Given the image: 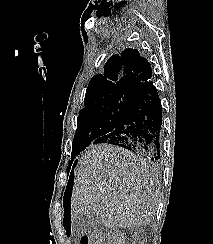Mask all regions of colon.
<instances>
[{
    "label": "colon",
    "instance_id": "obj_1",
    "mask_svg": "<svg viewBox=\"0 0 213 244\" xmlns=\"http://www.w3.org/2000/svg\"><path fill=\"white\" fill-rule=\"evenodd\" d=\"M80 244H115L113 240L103 233H96L91 236H83Z\"/></svg>",
    "mask_w": 213,
    "mask_h": 244
}]
</instances>
